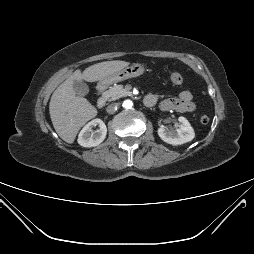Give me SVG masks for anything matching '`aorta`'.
I'll return each mask as SVG.
<instances>
[{
	"label": "aorta",
	"instance_id": "1",
	"mask_svg": "<svg viewBox=\"0 0 254 254\" xmlns=\"http://www.w3.org/2000/svg\"><path fill=\"white\" fill-rule=\"evenodd\" d=\"M122 106L125 108V109H131L132 106H133V103L131 100H125L122 104Z\"/></svg>",
	"mask_w": 254,
	"mask_h": 254
}]
</instances>
